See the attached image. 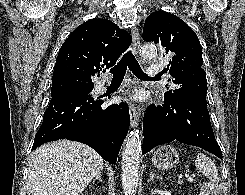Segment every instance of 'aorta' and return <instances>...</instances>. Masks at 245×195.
<instances>
[{
	"label": "aorta",
	"mask_w": 245,
	"mask_h": 195,
	"mask_svg": "<svg viewBox=\"0 0 245 195\" xmlns=\"http://www.w3.org/2000/svg\"><path fill=\"white\" fill-rule=\"evenodd\" d=\"M141 55L146 60L156 57L157 50L152 44L141 48ZM142 136L139 128L133 129L127 136L122 154V186L125 195H135L139 180V160Z\"/></svg>",
	"instance_id": "aorta-1"
}]
</instances>
